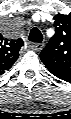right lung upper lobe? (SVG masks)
I'll use <instances>...</instances> for the list:
<instances>
[{
	"label": "right lung upper lobe",
	"instance_id": "cb5924a9",
	"mask_svg": "<svg viewBox=\"0 0 71 119\" xmlns=\"http://www.w3.org/2000/svg\"><path fill=\"white\" fill-rule=\"evenodd\" d=\"M23 44L21 38L15 40L0 38V74L12 67L19 57V51Z\"/></svg>",
	"mask_w": 71,
	"mask_h": 119
}]
</instances>
